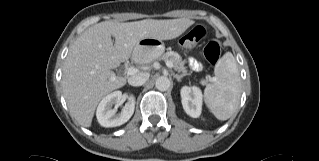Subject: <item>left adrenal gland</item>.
Listing matches in <instances>:
<instances>
[{
    "label": "left adrenal gland",
    "instance_id": "left-adrenal-gland-1",
    "mask_svg": "<svg viewBox=\"0 0 319 161\" xmlns=\"http://www.w3.org/2000/svg\"><path fill=\"white\" fill-rule=\"evenodd\" d=\"M184 76H186V75H185V74H181V75L175 74V75H174V78H176L178 82H181V79H182Z\"/></svg>",
    "mask_w": 319,
    "mask_h": 161
}]
</instances>
